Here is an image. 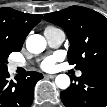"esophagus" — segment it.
<instances>
[{
    "label": "esophagus",
    "mask_w": 107,
    "mask_h": 107,
    "mask_svg": "<svg viewBox=\"0 0 107 107\" xmlns=\"http://www.w3.org/2000/svg\"><path fill=\"white\" fill-rule=\"evenodd\" d=\"M44 77H46V78H55L56 75L55 74H45Z\"/></svg>",
    "instance_id": "esophagus-1"
}]
</instances>
